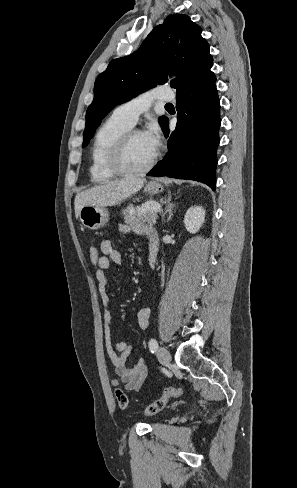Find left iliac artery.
<instances>
[{
  "label": "left iliac artery",
  "mask_w": 297,
  "mask_h": 488,
  "mask_svg": "<svg viewBox=\"0 0 297 488\" xmlns=\"http://www.w3.org/2000/svg\"><path fill=\"white\" fill-rule=\"evenodd\" d=\"M157 348H158L157 340L154 339V338L150 339V341H149V349H150L151 353H155L156 350H157Z\"/></svg>",
  "instance_id": "44dca946"
}]
</instances>
